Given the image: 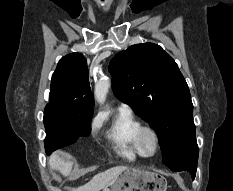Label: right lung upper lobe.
Instances as JSON below:
<instances>
[{
	"mask_svg": "<svg viewBox=\"0 0 233 191\" xmlns=\"http://www.w3.org/2000/svg\"><path fill=\"white\" fill-rule=\"evenodd\" d=\"M66 110L93 111L86 59L80 53L68 54L58 62L52 75L49 103Z\"/></svg>",
	"mask_w": 233,
	"mask_h": 191,
	"instance_id": "cb5924a9",
	"label": "right lung upper lobe"
}]
</instances>
